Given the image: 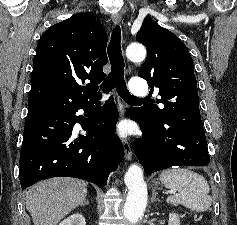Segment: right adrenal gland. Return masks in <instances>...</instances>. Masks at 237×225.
Here are the masks:
<instances>
[{
	"label": "right adrenal gland",
	"instance_id": "obj_1",
	"mask_svg": "<svg viewBox=\"0 0 237 225\" xmlns=\"http://www.w3.org/2000/svg\"><path fill=\"white\" fill-rule=\"evenodd\" d=\"M88 204H89L88 200H85V201L81 204V206L88 205Z\"/></svg>",
	"mask_w": 237,
	"mask_h": 225
}]
</instances>
